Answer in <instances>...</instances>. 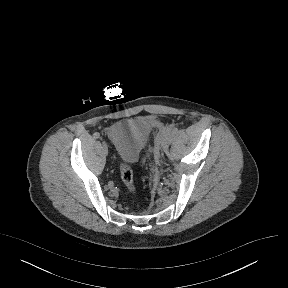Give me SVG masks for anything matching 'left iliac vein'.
<instances>
[{
  "mask_svg": "<svg viewBox=\"0 0 288 288\" xmlns=\"http://www.w3.org/2000/svg\"><path fill=\"white\" fill-rule=\"evenodd\" d=\"M161 148H162L163 151H165V150L167 149V141H166V140H164V141L162 142Z\"/></svg>",
  "mask_w": 288,
  "mask_h": 288,
  "instance_id": "4c4485c4",
  "label": "left iliac vein"
}]
</instances>
